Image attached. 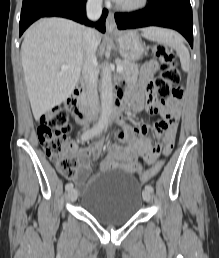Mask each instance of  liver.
<instances>
[{
	"label": "liver",
	"instance_id": "obj_1",
	"mask_svg": "<svg viewBox=\"0 0 219 258\" xmlns=\"http://www.w3.org/2000/svg\"><path fill=\"white\" fill-rule=\"evenodd\" d=\"M85 27L68 19L43 18L24 35L22 67L33 115L39 119L73 92L86 59ZM97 45L101 41L96 33ZM70 68L62 70L61 66Z\"/></svg>",
	"mask_w": 219,
	"mask_h": 258
}]
</instances>
